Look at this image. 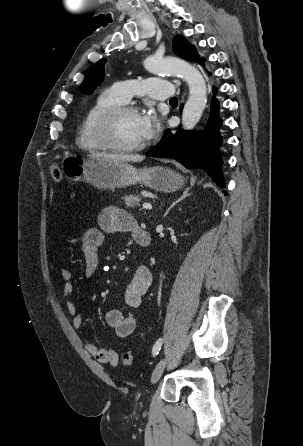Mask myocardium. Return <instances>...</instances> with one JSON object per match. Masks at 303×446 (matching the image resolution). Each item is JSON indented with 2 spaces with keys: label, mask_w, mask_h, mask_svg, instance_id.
<instances>
[{
  "label": "myocardium",
  "mask_w": 303,
  "mask_h": 446,
  "mask_svg": "<svg viewBox=\"0 0 303 446\" xmlns=\"http://www.w3.org/2000/svg\"><path fill=\"white\" fill-rule=\"evenodd\" d=\"M125 113H138L135 106L120 104L111 106L102 111L95 123V136L101 145L108 150L118 153H131L142 150L147 142L143 141L138 144L123 146L117 144L112 137L113 127L116 119Z\"/></svg>",
  "instance_id": "1"
}]
</instances>
